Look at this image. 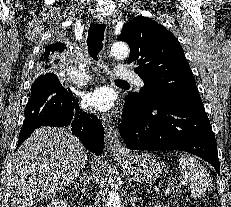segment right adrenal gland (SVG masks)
I'll list each match as a JSON object with an SVG mask.
<instances>
[{
	"mask_svg": "<svg viewBox=\"0 0 231 207\" xmlns=\"http://www.w3.org/2000/svg\"><path fill=\"white\" fill-rule=\"evenodd\" d=\"M79 181L80 184L74 182V186L76 189L80 190L83 194H85V191H89V189L87 188V185L89 184V180L86 179L85 173L83 172L81 173ZM82 182L84 183V185H82Z\"/></svg>",
	"mask_w": 231,
	"mask_h": 207,
	"instance_id": "right-adrenal-gland-1",
	"label": "right adrenal gland"
}]
</instances>
